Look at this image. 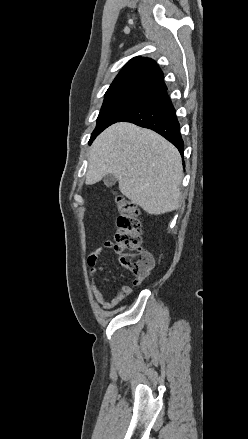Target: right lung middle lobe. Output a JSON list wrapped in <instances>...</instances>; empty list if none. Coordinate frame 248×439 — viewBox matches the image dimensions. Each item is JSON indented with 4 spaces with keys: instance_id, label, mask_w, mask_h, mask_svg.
Returning <instances> with one entry per match:
<instances>
[{
    "instance_id": "dd1d6c3e",
    "label": "right lung middle lobe",
    "mask_w": 248,
    "mask_h": 439,
    "mask_svg": "<svg viewBox=\"0 0 248 439\" xmlns=\"http://www.w3.org/2000/svg\"><path fill=\"white\" fill-rule=\"evenodd\" d=\"M150 99L149 96L133 93H120L106 96L97 118V126L91 135L89 143H91L105 128L118 122L124 116Z\"/></svg>"
}]
</instances>
